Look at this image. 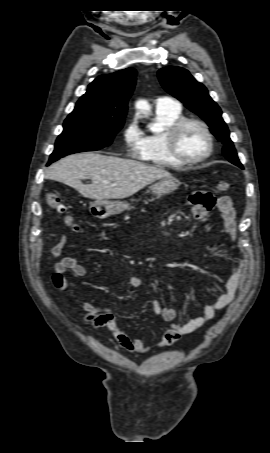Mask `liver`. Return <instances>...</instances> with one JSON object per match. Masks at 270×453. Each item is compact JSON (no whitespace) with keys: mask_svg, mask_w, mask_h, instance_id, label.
Segmentation results:
<instances>
[{"mask_svg":"<svg viewBox=\"0 0 270 453\" xmlns=\"http://www.w3.org/2000/svg\"><path fill=\"white\" fill-rule=\"evenodd\" d=\"M165 177L171 174L162 167L91 152L69 155L46 171L47 179L62 182L96 200L126 198ZM84 179H91L92 183L83 184Z\"/></svg>","mask_w":270,"mask_h":453,"instance_id":"liver-1","label":"liver"}]
</instances>
